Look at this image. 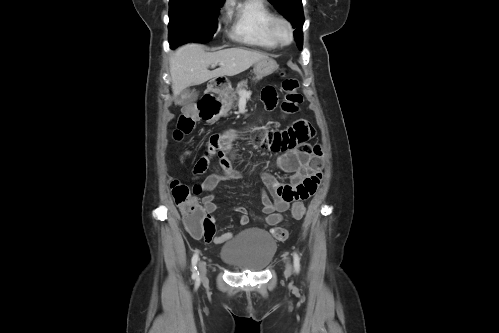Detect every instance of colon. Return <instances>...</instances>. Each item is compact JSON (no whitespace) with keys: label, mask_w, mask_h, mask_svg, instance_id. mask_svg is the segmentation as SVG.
<instances>
[{"label":"colon","mask_w":499,"mask_h":333,"mask_svg":"<svg viewBox=\"0 0 499 333\" xmlns=\"http://www.w3.org/2000/svg\"><path fill=\"white\" fill-rule=\"evenodd\" d=\"M298 86V81L292 77H285L281 83V89L284 93L281 111L287 116L296 114L303 101ZM210 102L215 109L219 107V103L214 99H211ZM195 125L196 118L190 112L180 115L173 133L174 138L181 140L193 131ZM171 192L175 204L183 214L186 229L191 234L202 237L209 242L215 234L213 220L205 212L200 202L191 195L190 188L183 183L173 181ZM305 211V206L301 202H295L291 208V216L294 220H299L304 216ZM272 235L276 240L284 241L288 237V230L285 227H276L272 230Z\"/></svg>","instance_id":"colon-1"}]
</instances>
